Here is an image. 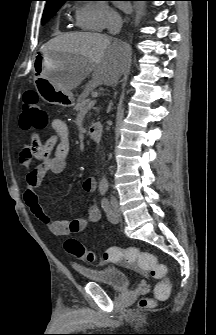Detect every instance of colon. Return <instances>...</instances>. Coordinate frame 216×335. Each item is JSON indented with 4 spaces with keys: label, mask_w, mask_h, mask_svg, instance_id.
Listing matches in <instances>:
<instances>
[{
    "label": "colon",
    "mask_w": 216,
    "mask_h": 335,
    "mask_svg": "<svg viewBox=\"0 0 216 335\" xmlns=\"http://www.w3.org/2000/svg\"><path fill=\"white\" fill-rule=\"evenodd\" d=\"M48 122L47 113L40 106L39 96L35 91H26L23 94L22 114L20 117V126L22 129L42 130ZM65 250L74 258L93 262L95 254L87 249L75 238L66 240ZM105 262L124 263L135 266L142 272L149 273L154 279L159 280L154 289V294L159 299H165L171 291V281L167 276V267L157 261L155 255L144 252L135 247L121 249L119 247H109L103 256ZM149 299H141L139 305L146 307L150 304Z\"/></svg>",
    "instance_id": "1"
}]
</instances>
